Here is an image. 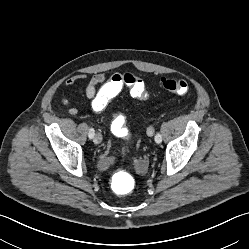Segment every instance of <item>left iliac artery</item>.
<instances>
[{
  "instance_id": "obj_1",
  "label": "left iliac artery",
  "mask_w": 249,
  "mask_h": 249,
  "mask_svg": "<svg viewBox=\"0 0 249 249\" xmlns=\"http://www.w3.org/2000/svg\"><path fill=\"white\" fill-rule=\"evenodd\" d=\"M155 142L158 144L162 142V137L159 133L155 135Z\"/></svg>"
}]
</instances>
